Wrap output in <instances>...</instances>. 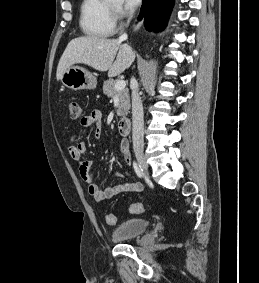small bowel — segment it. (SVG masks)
I'll return each mask as SVG.
<instances>
[{
  "instance_id": "small-bowel-1",
  "label": "small bowel",
  "mask_w": 259,
  "mask_h": 283,
  "mask_svg": "<svg viewBox=\"0 0 259 283\" xmlns=\"http://www.w3.org/2000/svg\"><path fill=\"white\" fill-rule=\"evenodd\" d=\"M102 113L100 110H93L90 114L86 115L80 124L83 127L94 128V137L100 139L102 135L101 131ZM86 151V144L79 142L68 148L69 156L78 162V172L82 181L87 185L88 193L97 201L104 202L123 192H135L139 193L143 190V186L140 182L135 181H123L120 184L107 187L102 190L95 183L93 177V161L91 159L82 160L81 157ZM119 151L123 160L128 164H132L131 154L129 152V144L126 139H122L119 143ZM114 178H121L122 174L115 173Z\"/></svg>"
}]
</instances>
